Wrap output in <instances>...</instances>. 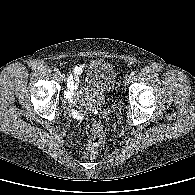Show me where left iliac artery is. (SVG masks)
Instances as JSON below:
<instances>
[{
  "label": "left iliac artery",
  "mask_w": 195,
  "mask_h": 195,
  "mask_svg": "<svg viewBox=\"0 0 195 195\" xmlns=\"http://www.w3.org/2000/svg\"><path fill=\"white\" fill-rule=\"evenodd\" d=\"M131 76H134L135 75V72H131V74H130Z\"/></svg>",
  "instance_id": "obj_1"
}]
</instances>
